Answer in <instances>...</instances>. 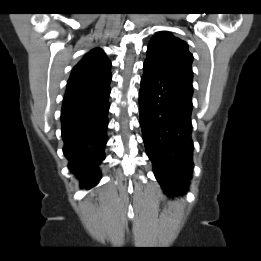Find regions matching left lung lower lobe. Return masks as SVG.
<instances>
[{
  "mask_svg": "<svg viewBox=\"0 0 261 261\" xmlns=\"http://www.w3.org/2000/svg\"><path fill=\"white\" fill-rule=\"evenodd\" d=\"M192 81L144 62L140 125L147 155L164 193L187 190L192 161Z\"/></svg>",
  "mask_w": 261,
  "mask_h": 261,
  "instance_id": "1",
  "label": "left lung lower lobe"
}]
</instances>
